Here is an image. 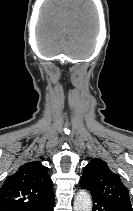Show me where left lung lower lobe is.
<instances>
[{"instance_id":"obj_1","label":"left lung lower lobe","mask_w":133,"mask_h":211,"mask_svg":"<svg viewBox=\"0 0 133 211\" xmlns=\"http://www.w3.org/2000/svg\"><path fill=\"white\" fill-rule=\"evenodd\" d=\"M92 211H129V209L93 198Z\"/></svg>"}]
</instances>
